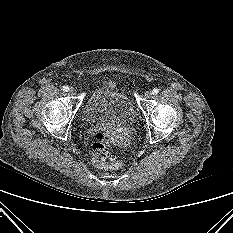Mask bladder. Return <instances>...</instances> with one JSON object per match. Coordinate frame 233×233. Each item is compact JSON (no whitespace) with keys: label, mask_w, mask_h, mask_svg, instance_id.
Here are the masks:
<instances>
[{"label":"bladder","mask_w":233,"mask_h":233,"mask_svg":"<svg viewBox=\"0 0 233 233\" xmlns=\"http://www.w3.org/2000/svg\"><path fill=\"white\" fill-rule=\"evenodd\" d=\"M136 117V108L128 95L111 87L93 91L82 110L86 123L131 125Z\"/></svg>","instance_id":"obj_1"}]
</instances>
